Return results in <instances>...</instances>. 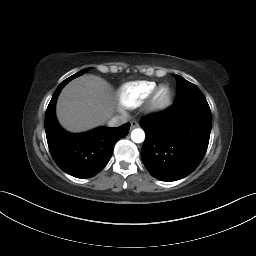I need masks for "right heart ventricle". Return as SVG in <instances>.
Wrapping results in <instances>:
<instances>
[{
  "label": "right heart ventricle",
  "mask_w": 256,
  "mask_h": 256,
  "mask_svg": "<svg viewBox=\"0 0 256 256\" xmlns=\"http://www.w3.org/2000/svg\"><path fill=\"white\" fill-rule=\"evenodd\" d=\"M157 87L154 81H135L124 84L118 93L121 106L135 108L146 100Z\"/></svg>",
  "instance_id": "right-heart-ventricle-1"
}]
</instances>
